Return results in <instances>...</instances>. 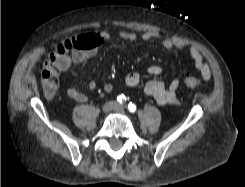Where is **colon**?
I'll return each instance as SVG.
<instances>
[{
  "mask_svg": "<svg viewBox=\"0 0 245 187\" xmlns=\"http://www.w3.org/2000/svg\"><path fill=\"white\" fill-rule=\"evenodd\" d=\"M85 37L74 35L59 43L48 55L41 70V82L43 92L46 97L52 98L59 88V65L67 60L74 50L84 48ZM184 85L190 89H199L202 84L199 80L187 75L183 81Z\"/></svg>",
  "mask_w": 245,
  "mask_h": 187,
  "instance_id": "1",
  "label": "colon"
}]
</instances>
